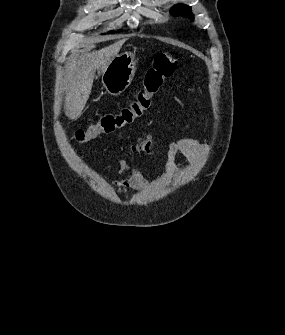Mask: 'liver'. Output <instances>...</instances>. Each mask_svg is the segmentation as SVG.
Returning a JSON list of instances; mask_svg holds the SVG:
<instances>
[{"instance_id": "obj_1", "label": "liver", "mask_w": 285, "mask_h": 335, "mask_svg": "<svg viewBox=\"0 0 285 335\" xmlns=\"http://www.w3.org/2000/svg\"><path fill=\"white\" fill-rule=\"evenodd\" d=\"M124 42L126 40H119L112 46H107L97 52H88L85 56L77 58L67 86L63 88L66 92L64 110L67 118L77 120L81 116L91 94L96 70L104 72L111 60L118 56ZM79 48H84V46H79Z\"/></svg>"}]
</instances>
